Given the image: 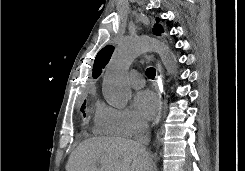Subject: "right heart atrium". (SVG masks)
Listing matches in <instances>:
<instances>
[{"instance_id":"obj_1","label":"right heart atrium","mask_w":245,"mask_h":171,"mask_svg":"<svg viewBox=\"0 0 245 171\" xmlns=\"http://www.w3.org/2000/svg\"><path fill=\"white\" fill-rule=\"evenodd\" d=\"M94 122L97 133L124 137L134 136L146 127L144 120L134 111L103 103L97 106Z\"/></svg>"}]
</instances>
